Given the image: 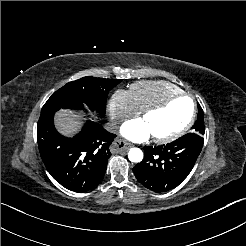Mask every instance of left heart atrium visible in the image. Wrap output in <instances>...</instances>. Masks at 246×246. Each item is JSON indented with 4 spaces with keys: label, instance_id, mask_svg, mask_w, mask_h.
<instances>
[{
    "label": "left heart atrium",
    "instance_id": "obj_1",
    "mask_svg": "<svg viewBox=\"0 0 246 246\" xmlns=\"http://www.w3.org/2000/svg\"><path fill=\"white\" fill-rule=\"evenodd\" d=\"M120 132L122 136L134 142L146 141L151 136L145 123L138 119L123 123Z\"/></svg>",
    "mask_w": 246,
    "mask_h": 246
}]
</instances>
